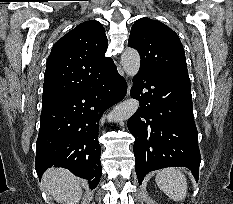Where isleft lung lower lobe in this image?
<instances>
[{
    "instance_id": "obj_1",
    "label": "left lung lower lobe",
    "mask_w": 233,
    "mask_h": 204,
    "mask_svg": "<svg viewBox=\"0 0 233 204\" xmlns=\"http://www.w3.org/2000/svg\"><path fill=\"white\" fill-rule=\"evenodd\" d=\"M133 83L131 96L140 108L128 119V129L135 137L139 183L148 172L171 166L189 168L198 181L201 156L190 85L143 70Z\"/></svg>"
}]
</instances>
